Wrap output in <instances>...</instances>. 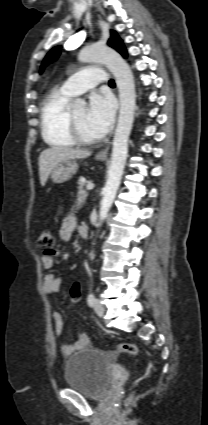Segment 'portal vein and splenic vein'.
<instances>
[{
    "mask_svg": "<svg viewBox=\"0 0 208 425\" xmlns=\"http://www.w3.org/2000/svg\"><path fill=\"white\" fill-rule=\"evenodd\" d=\"M94 188V184L93 183H88L86 186L87 190H92Z\"/></svg>",
    "mask_w": 208,
    "mask_h": 425,
    "instance_id": "portal-vein-and-splenic-vein-1",
    "label": "portal vein and splenic vein"
}]
</instances>
